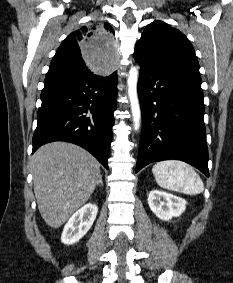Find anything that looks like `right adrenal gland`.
<instances>
[{
	"instance_id": "2a0ac1e0",
	"label": "right adrenal gland",
	"mask_w": 233,
	"mask_h": 283,
	"mask_svg": "<svg viewBox=\"0 0 233 283\" xmlns=\"http://www.w3.org/2000/svg\"><path fill=\"white\" fill-rule=\"evenodd\" d=\"M99 184H100L101 186H103V182H102V175H100V178H99Z\"/></svg>"
}]
</instances>
